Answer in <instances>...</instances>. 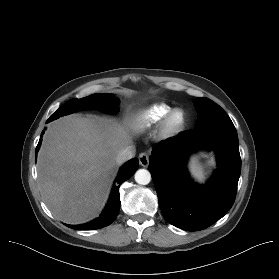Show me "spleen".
I'll list each match as a JSON object with an SVG mask.
<instances>
[{
	"mask_svg": "<svg viewBox=\"0 0 279 279\" xmlns=\"http://www.w3.org/2000/svg\"><path fill=\"white\" fill-rule=\"evenodd\" d=\"M190 171L194 178H196L200 182L203 181V179H204L203 168L197 160L191 161Z\"/></svg>",
	"mask_w": 279,
	"mask_h": 279,
	"instance_id": "obj_1",
	"label": "spleen"
}]
</instances>
